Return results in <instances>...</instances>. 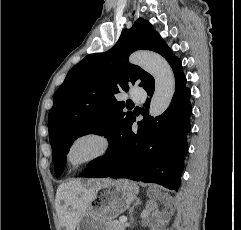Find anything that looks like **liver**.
Segmentation results:
<instances>
[{
  "label": "liver",
  "mask_w": 241,
  "mask_h": 230,
  "mask_svg": "<svg viewBox=\"0 0 241 230\" xmlns=\"http://www.w3.org/2000/svg\"><path fill=\"white\" fill-rule=\"evenodd\" d=\"M108 181L103 180L101 182ZM86 187L82 184H61L57 189L56 208L58 216L66 230H75L81 217L94 198L96 185ZM63 201V205H61Z\"/></svg>",
  "instance_id": "6515ba94"
}]
</instances>
